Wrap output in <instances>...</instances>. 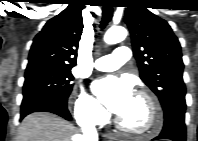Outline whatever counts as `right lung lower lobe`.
Segmentation results:
<instances>
[{
    "mask_svg": "<svg viewBox=\"0 0 198 141\" xmlns=\"http://www.w3.org/2000/svg\"><path fill=\"white\" fill-rule=\"evenodd\" d=\"M33 112H51L67 120H71L66 102L46 95L35 94L23 97L20 119Z\"/></svg>",
    "mask_w": 198,
    "mask_h": 141,
    "instance_id": "98d812e1",
    "label": "right lung lower lobe"
}]
</instances>
